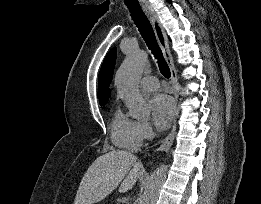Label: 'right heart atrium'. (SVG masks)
I'll list each match as a JSON object with an SVG mask.
<instances>
[{
	"label": "right heart atrium",
	"mask_w": 261,
	"mask_h": 204,
	"mask_svg": "<svg viewBox=\"0 0 261 204\" xmlns=\"http://www.w3.org/2000/svg\"><path fill=\"white\" fill-rule=\"evenodd\" d=\"M139 137L141 142L152 137V128L147 122H139Z\"/></svg>",
	"instance_id": "obj_1"
}]
</instances>
